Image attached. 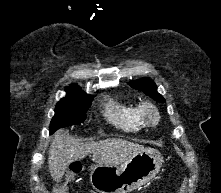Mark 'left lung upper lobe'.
Listing matches in <instances>:
<instances>
[{"label": "left lung upper lobe", "mask_w": 221, "mask_h": 193, "mask_svg": "<svg viewBox=\"0 0 221 193\" xmlns=\"http://www.w3.org/2000/svg\"><path fill=\"white\" fill-rule=\"evenodd\" d=\"M129 85L137 90L143 91L145 94L149 95L158 102H165L162 95L157 92L156 84L148 78H143L136 82H130Z\"/></svg>", "instance_id": "1"}]
</instances>
